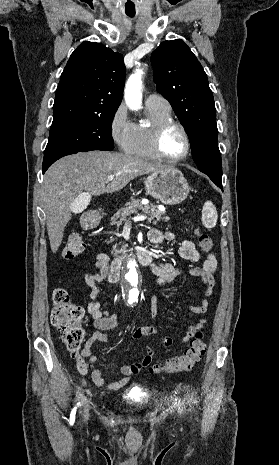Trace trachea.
Wrapping results in <instances>:
<instances>
[{
    "instance_id": "obj_1",
    "label": "trachea",
    "mask_w": 279,
    "mask_h": 465,
    "mask_svg": "<svg viewBox=\"0 0 279 465\" xmlns=\"http://www.w3.org/2000/svg\"><path fill=\"white\" fill-rule=\"evenodd\" d=\"M128 16H130V17H133V16H134V14H128Z\"/></svg>"
}]
</instances>
